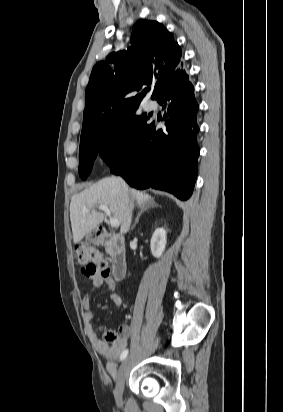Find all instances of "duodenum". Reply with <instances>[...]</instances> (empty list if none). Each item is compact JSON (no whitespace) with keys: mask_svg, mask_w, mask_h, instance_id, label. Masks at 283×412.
I'll use <instances>...</instances> for the list:
<instances>
[{"mask_svg":"<svg viewBox=\"0 0 283 412\" xmlns=\"http://www.w3.org/2000/svg\"><path fill=\"white\" fill-rule=\"evenodd\" d=\"M96 242L108 246L112 258V275L118 281L123 280L127 273V260L122 236L101 226L96 233Z\"/></svg>","mask_w":283,"mask_h":412,"instance_id":"duodenum-1","label":"duodenum"}]
</instances>
